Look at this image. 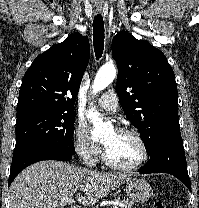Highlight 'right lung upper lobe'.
Wrapping results in <instances>:
<instances>
[{"instance_id":"obj_1","label":"right lung upper lobe","mask_w":199,"mask_h":208,"mask_svg":"<svg viewBox=\"0 0 199 208\" xmlns=\"http://www.w3.org/2000/svg\"><path fill=\"white\" fill-rule=\"evenodd\" d=\"M89 56L88 38L74 33L35 58L23 77L17 111H74Z\"/></svg>"}]
</instances>
